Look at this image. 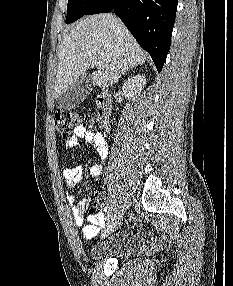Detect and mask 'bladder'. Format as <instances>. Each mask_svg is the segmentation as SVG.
Instances as JSON below:
<instances>
[{
	"label": "bladder",
	"mask_w": 233,
	"mask_h": 286,
	"mask_svg": "<svg viewBox=\"0 0 233 286\" xmlns=\"http://www.w3.org/2000/svg\"><path fill=\"white\" fill-rule=\"evenodd\" d=\"M134 252V238L128 232H123L109 241L101 242L93 247L90 256L94 261L103 260L109 256L126 258Z\"/></svg>",
	"instance_id": "1"
}]
</instances>
